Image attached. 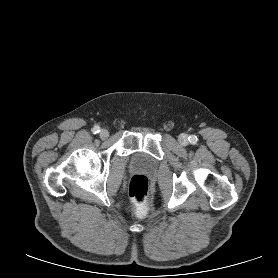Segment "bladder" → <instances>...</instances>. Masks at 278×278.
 Returning a JSON list of instances; mask_svg holds the SVG:
<instances>
[{
    "label": "bladder",
    "instance_id": "bladder-1",
    "mask_svg": "<svg viewBox=\"0 0 278 278\" xmlns=\"http://www.w3.org/2000/svg\"><path fill=\"white\" fill-rule=\"evenodd\" d=\"M130 166L135 170L152 172L155 169V160L144 152H136L131 156Z\"/></svg>",
    "mask_w": 278,
    "mask_h": 278
}]
</instances>
